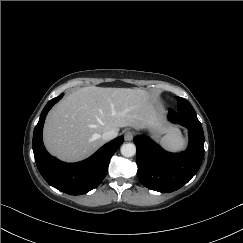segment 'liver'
I'll use <instances>...</instances> for the list:
<instances>
[{
	"label": "liver",
	"instance_id": "obj_1",
	"mask_svg": "<svg viewBox=\"0 0 243 243\" xmlns=\"http://www.w3.org/2000/svg\"><path fill=\"white\" fill-rule=\"evenodd\" d=\"M152 112L149 93L139 88H79L48 113L44 144L63 161H80L105 143L104 132L146 126Z\"/></svg>",
	"mask_w": 243,
	"mask_h": 243
}]
</instances>
